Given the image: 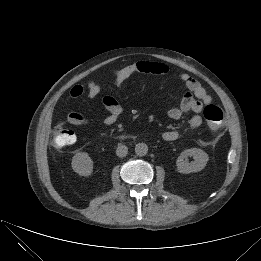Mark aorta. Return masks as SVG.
Wrapping results in <instances>:
<instances>
[{
	"instance_id": "762f6f07",
	"label": "aorta",
	"mask_w": 261,
	"mask_h": 261,
	"mask_svg": "<svg viewBox=\"0 0 261 261\" xmlns=\"http://www.w3.org/2000/svg\"><path fill=\"white\" fill-rule=\"evenodd\" d=\"M135 153L138 156H145L148 153V146L145 143L136 144Z\"/></svg>"
}]
</instances>
